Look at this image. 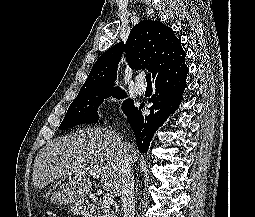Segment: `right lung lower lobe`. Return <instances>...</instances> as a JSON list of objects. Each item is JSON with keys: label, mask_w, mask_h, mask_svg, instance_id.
<instances>
[{"label": "right lung lower lobe", "mask_w": 255, "mask_h": 217, "mask_svg": "<svg viewBox=\"0 0 255 217\" xmlns=\"http://www.w3.org/2000/svg\"><path fill=\"white\" fill-rule=\"evenodd\" d=\"M184 60L168 72L155 78L156 91L149 101L153 105L150 107L148 116L144 117L136 107L126 114L135 134L138 150L142 153L147 152L156 130L162 126L166 118L174 113L179 106L183 91L186 88L185 78L189 71ZM143 106L144 103H141L140 108Z\"/></svg>", "instance_id": "right-lung-lower-lobe-1"}]
</instances>
